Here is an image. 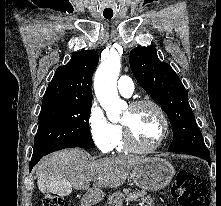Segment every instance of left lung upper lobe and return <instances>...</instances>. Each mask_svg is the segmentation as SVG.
<instances>
[{
	"mask_svg": "<svg viewBox=\"0 0 221 206\" xmlns=\"http://www.w3.org/2000/svg\"><path fill=\"white\" fill-rule=\"evenodd\" d=\"M130 67L141 87L163 106L173 129L170 152L209 153L188 103L178 75L161 62L155 47H138L130 52Z\"/></svg>",
	"mask_w": 221,
	"mask_h": 206,
	"instance_id": "left-lung-upper-lobe-1",
	"label": "left lung upper lobe"
}]
</instances>
